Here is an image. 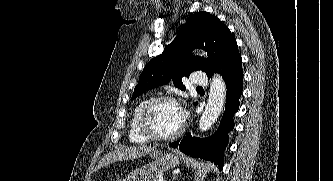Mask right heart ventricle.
Returning a JSON list of instances; mask_svg holds the SVG:
<instances>
[{"label": "right heart ventricle", "mask_w": 333, "mask_h": 181, "mask_svg": "<svg viewBox=\"0 0 333 181\" xmlns=\"http://www.w3.org/2000/svg\"><path fill=\"white\" fill-rule=\"evenodd\" d=\"M148 100V98L141 100L133 111L129 128V139L133 143L145 144L150 141V139L144 136L139 129V115Z\"/></svg>", "instance_id": "right-heart-ventricle-1"}]
</instances>
